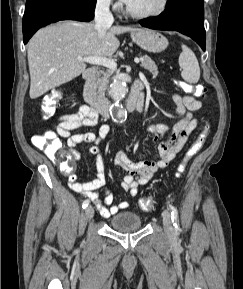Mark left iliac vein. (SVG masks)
I'll return each mask as SVG.
<instances>
[{"mask_svg": "<svg viewBox=\"0 0 243 289\" xmlns=\"http://www.w3.org/2000/svg\"><path fill=\"white\" fill-rule=\"evenodd\" d=\"M162 216H163V225H164L165 232L167 234H171L173 232V226H172L170 212L168 210H164Z\"/></svg>", "mask_w": 243, "mask_h": 289, "instance_id": "obj_1", "label": "left iliac vein"}]
</instances>
